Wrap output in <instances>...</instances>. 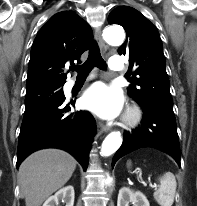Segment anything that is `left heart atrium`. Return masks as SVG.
I'll use <instances>...</instances> for the list:
<instances>
[{
    "label": "left heart atrium",
    "mask_w": 197,
    "mask_h": 206,
    "mask_svg": "<svg viewBox=\"0 0 197 206\" xmlns=\"http://www.w3.org/2000/svg\"><path fill=\"white\" fill-rule=\"evenodd\" d=\"M82 103L100 116L112 118L120 112L123 99L119 90L99 82L86 91Z\"/></svg>",
    "instance_id": "1"
}]
</instances>
